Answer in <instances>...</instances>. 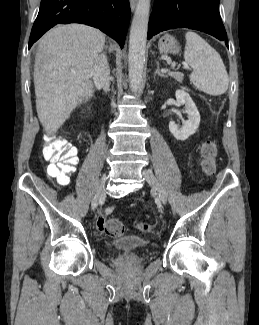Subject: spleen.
Returning a JSON list of instances; mask_svg holds the SVG:
<instances>
[{
    "label": "spleen",
    "mask_w": 259,
    "mask_h": 325,
    "mask_svg": "<svg viewBox=\"0 0 259 325\" xmlns=\"http://www.w3.org/2000/svg\"><path fill=\"white\" fill-rule=\"evenodd\" d=\"M185 38L184 59L193 68L190 81L206 94H224L229 79L219 53L195 32L188 31Z\"/></svg>",
    "instance_id": "spleen-1"
}]
</instances>
